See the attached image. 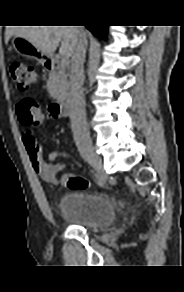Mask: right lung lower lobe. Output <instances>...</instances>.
I'll list each match as a JSON object with an SVG mask.
<instances>
[{"mask_svg":"<svg viewBox=\"0 0 184 292\" xmlns=\"http://www.w3.org/2000/svg\"><path fill=\"white\" fill-rule=\"evenodd\" d=\"M86 27L98 38L106 39L108 26L97 25V24H88Z\"/></svg>","mask_w":184,"mask_h":292,"instance_id":"98d812e1","label":"right lung lower lobe"}]
</instances>
